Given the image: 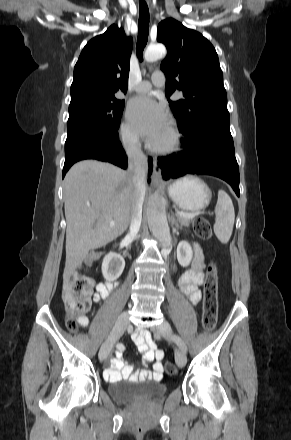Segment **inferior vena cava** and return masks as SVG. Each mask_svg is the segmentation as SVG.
Masks as SVG:
<instances>
[{
	"mask_svg": "<svg viewBox=\"0 0 291 440\" xmlns=\"http://www.w3.org/2000/svg\"><path fill=\"white\" fill-rule=\"evenodd\" d=\"M128 172L132 175L134 198L131 211L129 235L135 237L142 221V205L146 192V175L148 170L147 157L141 150L139 141L133 140L127 149Z\"/></svg>",
	"mask_w": 291,
	"mask_h": 440,
	"instance_id": "602c4592",
	"label": "inferior vena cava"
}]
</instances>
